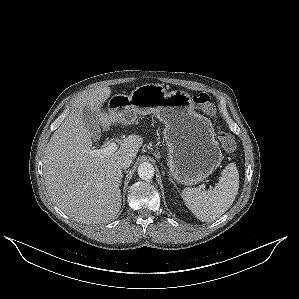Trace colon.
<instances>
[{
	"label": "colon",
	"instance_id": "colon-1",
	"mask_svg": "<svg viewBox=\"0 0 299 299\" xmlns=\"http://www.w3.org/2000/svg\"><path fill=\"white\" fill-rule=\"evenodd\" d=\"M193 101L207 114H215L214 104L212 103L210 96L206 93L197 94L194 96ZM218 140L225 150L233 151L235 149V141L229 134L225 132H219Z\"/></svg>",
	"mask_w": 299,
	"mask_h": 299
}]
</instances>
